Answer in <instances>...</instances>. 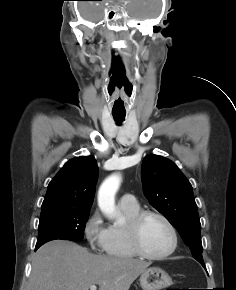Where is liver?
I'll return each mask as SVG.
<instances>
[{
    "label": "liver",
    "instance_id": "liver-1",
    "mask_svg": "<svg viewBox=\"0 0 236 290\" xmlns=\"http://www.w3.org/2000/svg\"><path fill=\"white\" fill-rule=\"evenodd\" d=\"M150 263L129 258L95 255L64 240L41 246L32 260L28 290H129Z\"/></svg>",
    "mask_w": 236,
    "mask_h": 290
}]
</instances>
